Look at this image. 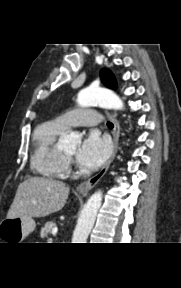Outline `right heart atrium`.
I'll use <instances>...</instances> for the list:
<instances>
[{
	"instance_id": "right-heart-atrium-1",
	"label": "right heart atrium",
	"mask_w": 181,
	"mask_h": 288,
	"mask_svg": "<svg viewBox=\"0 0 181 288\" xmlns=\"http://www.w3.org/2000/svg\"><path fill=\"white\" fill-rule=\"evenodd\" d=\"M70 163H71V160L68 159V166H69ZM68 172H69V167H68V170H67V172L65 174H67Z\"/></svg>"
}]
</instances>
